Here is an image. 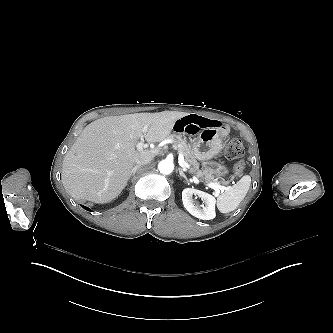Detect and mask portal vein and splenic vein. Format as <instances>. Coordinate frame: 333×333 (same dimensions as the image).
Listing matches in <instances>:
<instances>
[{
  "label": "portal vein and splenic vein",
  "instance_id": "18ae733b",
  "mask_svg": "<svg viewBox=\"0 0 333 333\" xmlns=\"http://www.w3.org/2000/svg\"><path fill=\"white\" fill-rule=\"evenodd\" d=\"M148 129V126H144V131L146 132ZM136 148L139 152H144V149L146 148V145L144 144V139L142 138L139 143H137ZM173 148L176 149V146L173 145ZM151 156H155L159 153V148L155 147L152 148L150 151ZM178 164L185 169H189L190 165L185 161L184 155L182 153H179L178 155ZM194 183L198 184L199 180L196 176H193ZM207 186L215 191V194L218 195L220 192H224L228 189V187L220 185L219 183L210 182L207 184Z\"/></svg>",
  "mask_w": 333,
  "mask_h": 333
}]
</instances>
